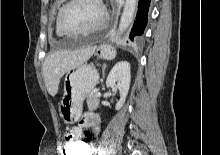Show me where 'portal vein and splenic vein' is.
Listing matches in <instances>:
<instances>
[{
	"instance_id": "obj_1",
	"label": "portal vein and splenic vein",
	"mask_w": 220,
	"mask_h": 155,
	"mask_svg": "<svg viewBox=\"0 0 220 155\" xmlns=\"http://www.w3.org/2000/svg\"><path fill=\"white\" fill-rule=\"evenodd\" d=\"M100 95H101L100 92H96L97 97H100Z\"/></svg>"
}]
</instances>
